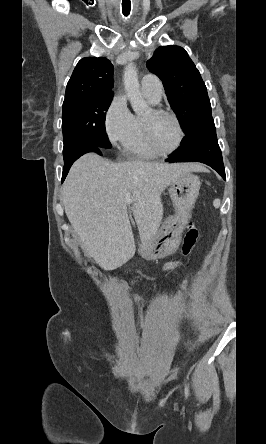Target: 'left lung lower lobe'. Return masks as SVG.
Returning a JSON list of instances; mask_svg holds the SVG:
<instances>
[{"label": "left lung lower lobe", "mask_w": 266, "mask_h": 444, "mask_svg": "<svg viewBox=\"0 0 266 444\" xmlns=\"http://www.w3.org/2000/svg\"><path fill=\"white\" fill-rule=\"evenodd\" d=\"M186 161L205 163L226 180L222 154L218 145L213 118L200 123L187 133V137L183 140L177 151L166 159V162L170 163Z\"/></svg>", "instance_id": "obj_1"}]
</instances>
